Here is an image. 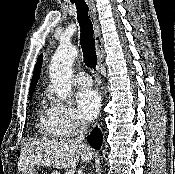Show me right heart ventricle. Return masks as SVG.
<instances>
[{"label": "right heart ventricle", "instance_id": "1", "mask_svg": "<svg viewBox=\"0 0 175 174\" xmlns=\"http://www.w3.org/2000/svg\"><path fill=\"white\" fill-rule=\"evenodd\" d=\"M39 120L38 127L40 131L49 137L59 138L62 135L54 127L51 117H50V107L46 105V101L43 99L39 107Z\"/></svg>", "mask_w": 175, "mask_h": 174}]
</instances>
